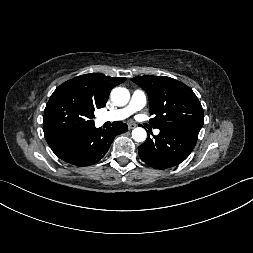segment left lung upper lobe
<instances>
[{
    "label": "left lung upper lobe",
    "mask_w": 253,
    "mask_h": 253,
    "mask_svg": "<svg viewBox=\"0 0 253 253\" xmlns=\"http://www.w3.org/2000/svg\"><path fill=\"white\" fill-rule=\"evenodd\" d=\"M132 81L149 98L150 123L158 129L199 133L204 123L203 108L184 83L166 76H137Z\"/></svg>",
    "instance_id": "1"
}]
</instances>
